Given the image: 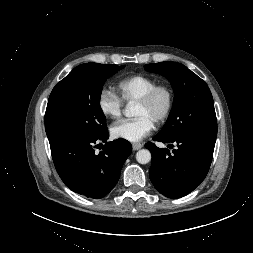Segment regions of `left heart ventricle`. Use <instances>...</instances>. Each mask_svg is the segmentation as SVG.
Returning <instances> with one entry per match:
<instances>
[{
  "mask_svg": "<svg viewBox=\"0 0 253 253\" xmlns=\"http://www.w3.org/2000/svg\"><path fill=\"white\" fill-rule=\"evenodd\" d=\"M167 105V95L164 91L159 92L152 103L142 105L137 103L135 107V116H146L153 122L162 114Z\"/></svg>",
  "mask_w": 253,
  "mask_h": 253,
  "instance_id": "obj_1",
  "label": "left heart ventricle"
}]
</instances>
